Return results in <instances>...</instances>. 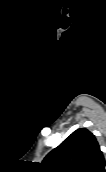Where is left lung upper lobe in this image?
Masks as SVG:
<instances>
[{
  "mask_svg": "<svg viewBox=\"0 0 106 172\" xmlns=\"http://www.w3.org/2000/svg\"><path fill=\"white\" fill-rule=\"evenodd\" d=\"M45 172H105V160L95 136L86 128L74 131L41 163Z\"/></svg>",
  "mask_w": 106,
  "mask_h": 172,
  "instance_id": "5c2ea615",
  "label": "left lung upper lobe"
}]
</instances>
